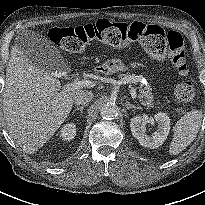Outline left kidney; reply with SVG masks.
<instances>
[{
  "instance_id": "5707ae66",
  "label": "left kidney",
  "mask_w": 205,
  "mask_h": 205,
  "mask_svg": "<svg viewBox=\"0 0 205 205\" xmlns=\"http://www.w3.org/2000/svg\"><path fill=\"white\" fill-rule=\"evenodd\" d=\"M154 120L158 123V129L152 136H148L145 125L150 122L153 123ZM130 127L133 137L139 141L140 145L155 149L163 145L167 139L170 131V119L165 113L161 112L150 118L147 115H137L131 118Z\"/></svg>"
}]
</instances>
